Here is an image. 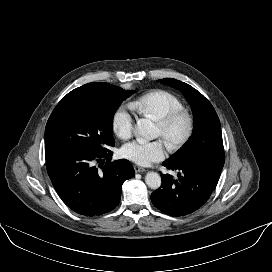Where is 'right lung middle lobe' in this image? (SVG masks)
<instances>
[{
    "label": "right lung middle lobe",
    "instance_id": "obj_1",
    "mask_svg": "<svg viewBox=\"0 0 272 272\" xmlns=\"http://www.w3.org/2000/svg\"><path fill=\"white\" fill-rule=\"evenodd\" d=\"M92 86V100L53 111L45 128L46 161L63 153L99 154L114 146L113 115L134 91L101 82Z\"/></svg>",
    "mask_w": 272,
    "mask_h": 272
}]
</instances>
